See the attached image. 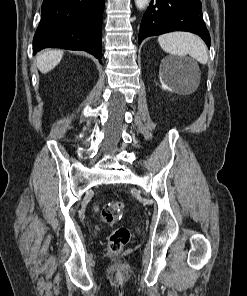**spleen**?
<instances>
[{"label":"spleen","mask_w":247,"mask_h":296,"mask_svg":"<svg viewBox=\"0 0 247 296\" xmlns=\"http://www.w3.org/2000/svg\"><path fill=\"white\" fill-rule=\"evenodd\" d=\"M158 42L167 53L175 56L190 55L201 64L208 62L207 47L197 35L187 32H171L160 35Z\"/></svg>","instance_id":"1"}]
</instances>
